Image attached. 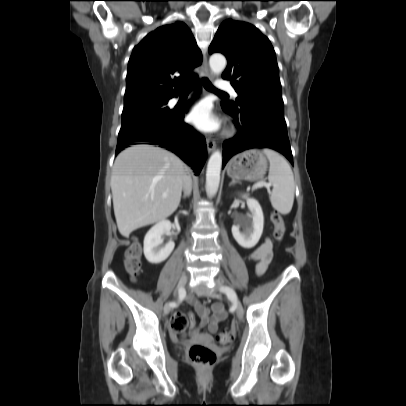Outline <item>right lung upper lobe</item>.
I'll return each mask as SVG.
<instances>
[{
    "label": "right lung upper lobe",
    "mask_w": 406,
    "mask_h": 406,
    "mask_svg": "<svg viewBox=\"0 0 406 406\" xmlns=\"http://www.w3.org/2000/svg\"><path fill=\"white\" fill-rule=\"evenodd\" d=\"M201 62L193 34L183 22L157 28L133 49L124 106L177 96L179 84L195 78L192 70Z\"/></svg>",
    "instance_id": "cb5924a9"
}]
</instances>
